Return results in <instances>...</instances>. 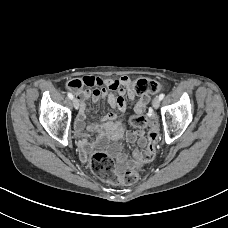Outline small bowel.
<instances>
[{
    "instance_id": "small-bowel-1",
    "label": "small bowel",
    "mask_w": 228,
    "mask_h": 228,
    "mask_svg": "<svg viewBox=\"0 0 228 228\" xmlns=\"http://www.w3.org/2000/svg\"><path fill=\"white\" fill-rule=\"evenodd\" d=\"M81 81L87 88L76 92L81 102L75 122V130L79 138L80 147L85 151L89 148L88 141L83 137L84 130L96 133L97 143L100 146H107L109 141L118 140L125 136L128 142H137L139 146L144 147L146 144L144 130H126L124 123L127 111L126 98L129 101H134L136 97L133 81L126 76L117 79L85 76ZM90 97L94 103H97L100 99H106L111 109H117L120 114L116 115L114 112H109L99 122L87 125L85 122L87 111L85 101ZM148 102L149 97L147 95L140 97L134 106V113L136 115L143 114ZM107 149L116 158L120 168L126 166L138 167L142 164L139 161L128 163L127 156L122 152L119 144L109 145Z\"/></svg>"
}]
</instances>
